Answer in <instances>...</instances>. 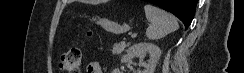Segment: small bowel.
Returning <instances> with one entry per match:
<instances>
[{"label": "small bowel", "instance_id": "c3829d8e", "mask_svg": "<svg viewBox=\"0 0 244 73\" xmlns=\"http://www.w3.org/2000/svg\"><path fill=\"white\" fill-rule=\"evenodd\" d=\"M87 73H102L100 64L98 62H90L87 65Z\"/></svg>", "mask_w": 244, "mask_h": 73}]
</instances>
